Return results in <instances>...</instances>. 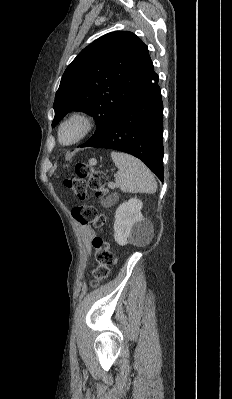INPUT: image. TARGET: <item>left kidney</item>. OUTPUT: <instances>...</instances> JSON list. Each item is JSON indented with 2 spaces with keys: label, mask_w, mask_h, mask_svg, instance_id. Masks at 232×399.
<instances>
[{
  "label": "left kidney",
  "mask_w": 232,
  "mask_h": 399,
  "mask_svg": "<svg viewBox=\"0 0 232 399\" xmlns=\"http://www.w3.org/2000/svg\"><path fill=\"white\" fill-rule=\"evenodd\" d=\"M141 200L131 198L124 201L116 209L114 221V237L119 245L125 243H137L138 239L146 237L151 223L143 217Z\"/></svg>",
  "instance_id": "1"
}]
</instances>
